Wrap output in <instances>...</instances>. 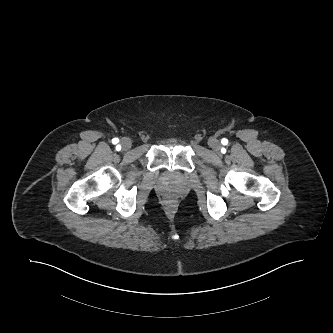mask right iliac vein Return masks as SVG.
<instances>
[{"label": "right iliac vein", "mask_w": 333, "mask_h": 333, "mask_svg": "<svg viewBox=\"0 0 333 333\" xmlns=\"http://www.w3.org/2000/svg\"><path fill=\"white\" fill-rule=\"evenodd\" d=\"M120 144H121L122 149L124 151H127L131 148L132 141L129 138H122Z\"/></svg>", "instance_id": "63e3f726"}]
</instances>
